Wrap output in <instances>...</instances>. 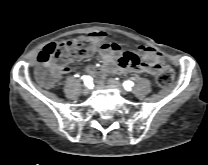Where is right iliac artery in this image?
<instances>
[{"label":"right iliac artery","mask_w":208,"mask_h":165,"mask_svg":"<svg viewBox=\"0 0 208 165\" xmlns=\"http://www.w3.org/2000/svg\"><path fill=\"white\" fill-rule=\"evenodd\" d=\"M83 79L86 86L92 85V78L90 76H84Z\"/></svg>","instance_id":"1"}]
</instances>
